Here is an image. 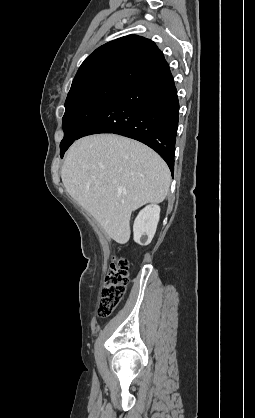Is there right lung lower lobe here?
<instances>
[{"instance_id": "1", "label": "right lung lower lobe", "mask_w": 255, "mask_h": 418, "mask_svg": "<svg viewBox=\"0 0 255 418\" xmlns=\"http://www.w3.org/2000/svg\"><path fill=\"white\" fill-rule=\"evenodd\" d=\"M178 120L177 90L168 68L126 86L114 95L77 139L97 133H114L138 140L155 150L173 174ZM67 148L60 153L61 157Z\"/></svg>"}]
</instances>
